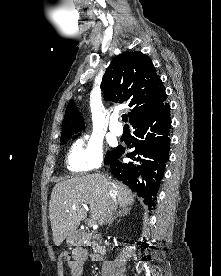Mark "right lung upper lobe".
<instances>
[{
    "label": "right lung upper lobe",
    "instance_id": "cb5924a9",
    "mask_svg": "<svg viewBox=\"0 0 221 276\" xmlns=\"http://www.w3.org/2000/svg\"><path fill=\"white\" fill-rule=\"evenodd\" d=\"M101 90L105 100L128 101L132 107L128 113L130 123L158 111L167 98L151 59L139 51L124 52L112 60L103 76ZM84 128L83 118L70 100L63 120L61 141L69 140L75 132Z\"/></svg>",
    "mask_w": 221,
    "mask_h": 276
}]
</instances>
